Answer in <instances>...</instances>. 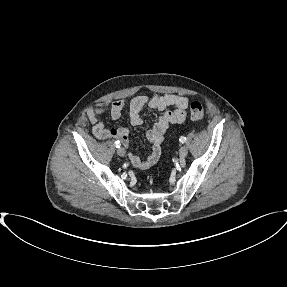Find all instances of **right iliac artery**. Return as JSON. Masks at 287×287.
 <instances>
[{"mask_svg": "<svg viewBox=\"0 0 287 287\" xmlns=\"http://www.w3.org/2000/svg\"><path fill=\"white\" fill-rule=\"evenodd\" d=\"M120 145H121V144H120V141H118V140H117V141H115V146H116L117 148H119V147H120Z\"/></svg>", "mask_w": 287, "mask_h": 287, "instance_id": "82829eb1", "label": "right iliac artery"}]
</instances>
